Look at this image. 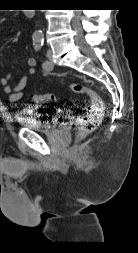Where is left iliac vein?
<instances>
[{
	"instance_id": "4c4485c4",
	"label": "left iliac vein",
	"mask_w": 138,
	"mask_h": 253,
	"mask_svg": "<svg viewBox=\"0 0 138 253\" xmlns=\"http://www.w3.org/2000/svg\"><path fill=\"white\" fill-rule=\"evenodd\" d=\"M46 56H47V58L49 60V64H50V67H49L48 70H52L53 67H54V64H53V60H52V52H51V50H47Z\"/></svg>"
}]
</instances>
